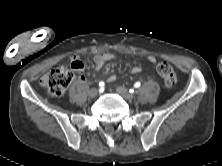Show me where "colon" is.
<instances>
[{"mask_svg": "<svg viewBox=\"0 0 222 166\" xmlns=\"http://www.w3.org/2000/svg\"><path fill=\"white\" fill-rule=\"evenodd\" d=\"M157 72L162 78L164 85L172 88L177 83V73L173 66L167 62H161L157 66ZM74 78L72 71L61 66L47 72L42 76L40 83L53 96H61L70 86Z\"/></svg>", "mask_w": 222, "mask_h": 166, "instance_id": "5ec220e1", "label": "colon"}]
</instances>
